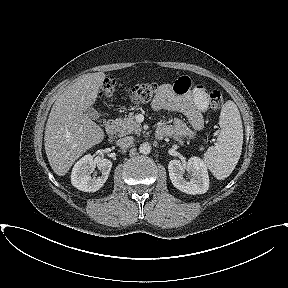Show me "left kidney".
<instances>
[{"label": "left kidney", "instance_id": "5707ae66", "mask_svg": "<svg viewBox=\"0 0 288 288\" xmlns=\"http://www.w3.org/2000/svg\"><path fill=\"white\" fill-rule=\"evenodd\" d=\"M169 177L178 190L187 194H204L209 188V176L206 164L198 157H191L186 164L180 160H171L168 164ZM185 171L189 179L184 178Z\"/></svg>", "mask_w": 288, "mask_h": 288}]
</instances>
